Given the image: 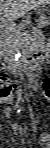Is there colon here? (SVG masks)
<instances>
[{
	"instance_id": "5ec220e1",
	"label": "colon",
	"mask_w": 50,
	"mask_h": 148,
	"mask_svg": "<svg viewBox=\"0 0 50 148\" xmlns=\"http://www.w3.org/2000/svg\"><path fill=\"white\" fill-rule=\"evenodd\" d=\"M3 85L0 88V97L3 99H7L12 96L14 92V86L10 83L9 78L7 75H2ZM42 87L44 90L43 96L49 97L50 96V83L47 78L42 81Z\"/></svg>"
}]
</instances>
